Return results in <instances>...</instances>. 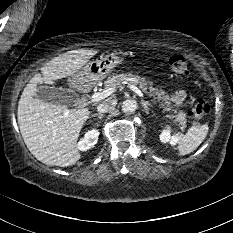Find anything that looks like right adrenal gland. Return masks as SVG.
I'll return each instance as SVG.
<instances>
[{"mask_svg":"<svg viewBox=\"0 0 233 233\" xmlns=\"http://www.w3.org/2000/svg\"><path fill=\"white\" fill-rule=\"evenodd\" d=\"M92 117H98V119L101 120V119L104 117V114H102V113H96V114H92V115H91V118H92ZM97 125H98V123H97Z\"/></svg>","mask_w":233,"mask_h":233,"instance_id":"1","label":"right adrenal gland"}]
</instances>
